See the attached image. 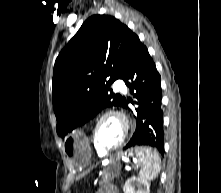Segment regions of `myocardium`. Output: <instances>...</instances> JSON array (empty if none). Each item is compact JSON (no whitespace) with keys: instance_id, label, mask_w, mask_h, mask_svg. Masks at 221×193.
Returning <instances> with one entry per match:
<instances>
[{"instance_id":"myocardium-1","label":"myocardium","mask_w":221,"mask_h":193,"mask_svg":"<svg viewBox=\"0 0 221 193\" xmlns=\"http://www.w3.org/2000/svg\"><path fill=\"white\" fill-rule=\"evenodd\" d=\"M109 116L117 118L121 122L123 130H122V136L117 144H115L112 147H105L98 140L97 130H98L99 124L102 122V120L105 119L106 117H109ZM129 129H130L129 120L123 112L116 110V109L105 110L95 120L93 130H92L93 143H94L95 147L97 149H99L100 151H102L103 153H107V152L116 150V149L120 148L123 145V143L125 142V140L128 136V133H129Z\"/></svg>"}]
</instances>
